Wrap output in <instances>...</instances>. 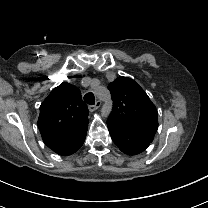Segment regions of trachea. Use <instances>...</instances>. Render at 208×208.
Masks as SVG:
<instances>
[{
    "label": "trachea",
    "mask_w": 208,
    "mask_h": 208,
    "mask_svg": "<svg viewBox=\"0 0 208 208\" xmlns=\"http://www.w3.org/2000/svg\"><path fill=\"white\" fill-rule=\"evenodd\" d=\"M84 101L87 104L94 105L95 104V97L92 92H88L84 95Z\"/></svg>",
    "instance_id": "1"
}]
</instances>
